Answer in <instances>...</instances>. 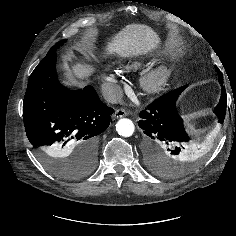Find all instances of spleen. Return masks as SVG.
I'll return each instance as SVG.
<instances>
[{"mask_svg": "<svg viewBox=\"0 0 236 236\" xmlns=\"http://www.w3.org/2000/svg\"><path fill=\"white\" fill-rule=\"evenodd\" d=\"M187 128H188L191 132H194V131H195L194 124L187 123Z\"/></svg>", "mask_w": 236, "mask_h": 236, "instance_id": "1", "label": "spleen"}]
</instances>
